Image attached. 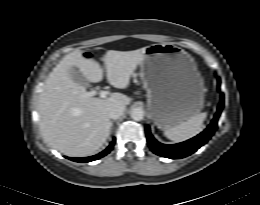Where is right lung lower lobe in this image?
<instances>
[{"label": "right lung lower lobe", "instance_id": "obj_1", "mask_svg": "<svg viewBox=\"0 0 260 205\" xmlns=\"http://www.w3.org/2000/svg\"><path fill=\"white\" fill-rule=\"evenodd\" d=\"M115 144V139L110 143V145L101 153L94 155V156H90V157H84V158H69L70 160L76 161V162H90V161H94L97 160L103 156H105L106 154H108L111 149L113 148Z\"/></svg>", "mask_w": 260, "mask_h": 205}]
</instances>
